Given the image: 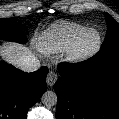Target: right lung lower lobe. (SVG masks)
Masks as SVG:
<instances>
[{
	"instance_id": "obj_1",
	"label": "right lung lower lobe",
	"mask_w": 119,
	"mask_h": 119,
	"mask_svg": "<svg viewBox=\"0 0 119 119\" xmlns=\"http://www.w3.org/2000/svg\"><path fill=\"white\" fill-rule=\"evenodd\" d=\"M47 67L26 73L0 63V119H26L28 109L46 91Z\"/></svg>"
}]
</instances>
